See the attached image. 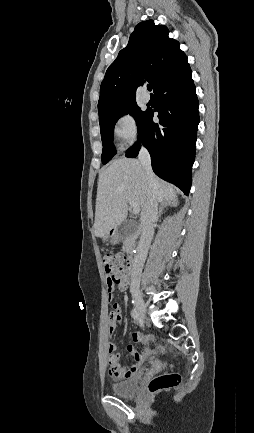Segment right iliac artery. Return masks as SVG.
Wrapping results in <instances>:
<instances>
[{"label":"right iliac artery","mask_w":254,"mask_h":433,"mask_svg":"<svg viewBox=\"0 0 254 433\" xmlns=\"http://www.w3.org/2000/svg\"><path fill=\"white\" fill-rule=\"evenodd\" d=\"M133 303H134V301H133ZM131 315H132L134 321L136 322L138 320V318H139V315H138V313H137V311L135 309H133L131 311Z\"/></svg>","instance_id":"right-iliac-artery-1"}]
</instances>
